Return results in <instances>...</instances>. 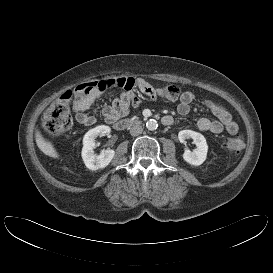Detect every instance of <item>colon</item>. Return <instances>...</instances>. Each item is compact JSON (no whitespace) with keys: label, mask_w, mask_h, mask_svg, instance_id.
Wrapping results in <instances>:
<instances>
[{"label":"colon","mask_w":273,"mask_h":273,"mask_svg":"<svg viewBox=\"0 0 273 273\" xmlns=\"http://www.w3.org/2000/svg\"><path fill=\"white\" fill-rule=\"evenodd\" d=\"M136 83L137 81L132 77H121L84 83L74 90L64 92L48 106L42 123L44 131L51 136H59L71 127V104L74 99L91 97L111 88L130 91L136 86ZM179 94V87L173 84L159 90L160 96L170 99H176ZM225 146L231 152H239L244 148L245 144L241 137L236 136L229 138Z\"/></svg>","instance_id":"colon-1"}]
</instances>
